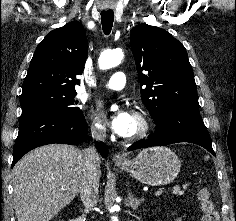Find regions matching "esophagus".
I'll list each match as a JSON object with an SVG mask.
<instances>
[{
	"mask_svg": "<svg viewBox=\"0 0 236 221\" xmlns=\"http://www.w3.org/2000/svg\"><path fill=\"white\" fill-rule=\"evenodd\" d=\"M113 161L115 163H121V162L125 161V158L122 155H120V154H114L113 155Z\"/></svg>",
	"mask_w": 236,
	"mask_h": 221,
	"instance_id": "1",
	"label": "esophagus"
}]
</instances>
